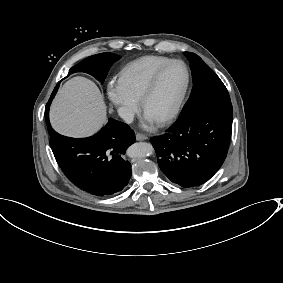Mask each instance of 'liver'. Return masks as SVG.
<instances>
[{
	"label": "liver",
	"mask_w": 283,
	"mask_h": 283,
	"mask_svg": "<svg viewBox=\"0 0 283 283\" xmlns=\"http://www.w3.org/2000/svg\"><path fill=\"white\" fill-rule=\"evenodd\" d=\"M50 122L60 134L80 138L106 123V105L97 85L81 76L65 82L50 108Z\"/></svg>",
	"instance_id": "6515ba94"
}]
</instances>
